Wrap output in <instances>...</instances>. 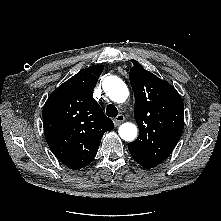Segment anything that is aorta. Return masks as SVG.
<instances>
[{"mask_svg":"<svg viewBox=\"0 0 221 221\" xmlns=\"http://www.w3.org/2000/svg\"><path fill=\"white\" fill-rule=\"evenodd\" d=\"M103 90L116 103H123L129 96L126 84L117 76H108L103 81ZM119 135L125 141H133L137 137V127L133 123H123L119 127Z\"/></svg>","mask_w":221,"mask_h":221,"instance_id":"762f6f07","label":"aorta"}]
</instances>
